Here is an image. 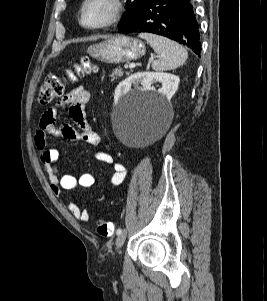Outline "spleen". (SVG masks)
Listing matches in <instances>:
<instances>
[{"label":"spleen","mask_w":267,"mask_h":301,"mask_svg":"<svg viewBox=\"0 0 267 301\" xmlns=\"http://www.w3.org/2000/svg\"><path fill=\"white\" fill-rule=\"evenodd\" d=\"M139 37L145 39L160 57L152 63L155 71L176 69L188 58L187 51L170 39L149 33H140Z\"/></svg>","instance_id":"obj_1"}]
</instances>
